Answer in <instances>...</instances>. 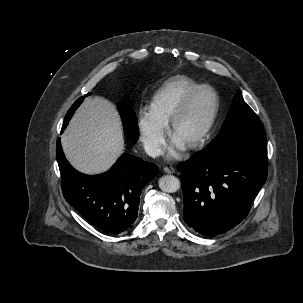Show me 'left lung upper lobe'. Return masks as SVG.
Instances as JSON below:
<instances>
[{
    "label": "left lung upper lobe",
    "instance_id": "obj_1",
    "mask_svg": "<svg viewBox=\"0 0 303 303\" xmlns=\"http://www.w3.org/2000/svg\"><path fill=\"white\" fill-rule=\"evenodd\" d=\"M267 162V144L259 117L239 93L233 99L220 133L204 150Z\"/></svg>",
    "mask_w": 303,
    "mask_h": 303
}]
</instances>
